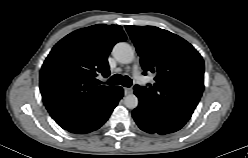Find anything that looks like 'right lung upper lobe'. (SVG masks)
<instances>
[{
  "mask_svg": "<svg viewBox=\"0 0 248 158\" xmlns=\"http://www.w3.org/2000/svg\"><path fill=\"white\" fill-rule=\"evenodd\" d=\"M124 40L120 25L98 24L68 34L53 47L40 71V91L54 120L89 110L115 88L98 86L96 76H109L107 57Z\"/></svg>",
  "mask_w": 248,
  "mask_h": 158,
  "instance_id": "right-lung-upper-lobe-1",
  "label": "right lung upper lobe"
}]
</instances>
